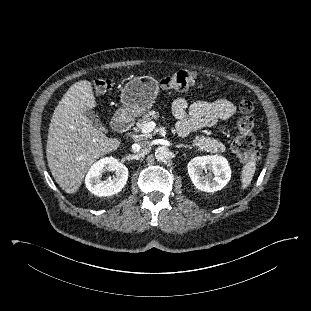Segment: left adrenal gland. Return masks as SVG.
Returning <instances> with one entry per match:
<instances>
[{
	"label": "left adrenal gland",
	"instance_id": "obj_1",
	"mask_svg": "<svg viewBox=\"0 0 311 311\" xmlns=\"http://www.w3.org/2000/svg\"><path fill=\"white\" fill-rule=\"evenodd\" d=\"M176 147L179 148V149H180V148H189V149H192V147H191L190 145H185V144H177Z\"/></svg>",
	"mask_w": 311,
	"mask_h": 311
}]
</instances>
